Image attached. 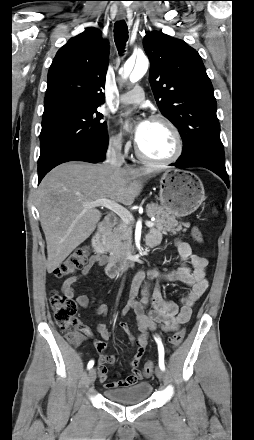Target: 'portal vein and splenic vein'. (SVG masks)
Returning a JSON list of instances; mask_svg holds the SVG:
<instances>
[{
    "mask_svg": "<svg viewBox=\"0 0 254 440\" xmlns=\"http://www.w3.org/2000/svg\"><path fill=\"white\" fill-rule=\"evenodd\" d=\"M84 206L88 208L102 206L113 211L125 223L134 222L133 215L126 208L109 199H98L92 202L85 203ZM145 224L147 227H153L155 225L153 221H146Z\"/></svg>",
    "mask_w": 254,
    "mask_h": 440,
    "instance_id": "obj_1",
    "label": "portal vein and splenic vein"
}]
</instances>
